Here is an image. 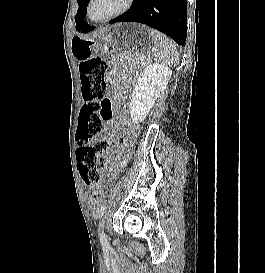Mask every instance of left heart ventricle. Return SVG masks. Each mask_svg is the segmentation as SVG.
I'll return each mask as SVG.
<instances>
[{
    "mask_svg": "<svg viewBox=\"0 0 265 273\" xmlns=\"http://www.w3.org/2000/svg\"><path fill=\"white\" fill-rule=\"evenodd\" d=\"M124 2L125 0H93L91 15L95 19L106 17L122 7Z\"/></svg>",
    "mask_w": 265,
    "mask_h": 273,
    "instance_id": "left-heart-ventricle-1",
    "label": "left heart ventricle"
}]
</instances>
